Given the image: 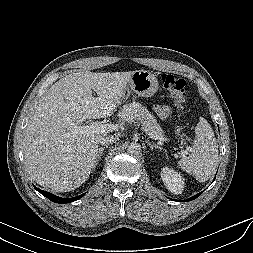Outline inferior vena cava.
<instances>
[{
	"label": "inferior vena cava",
	"mask_w": 253,
	"mask_h": 253,
	"mask_svg": "<svg viewBox=\"0 0 253 253\" xmlns=\"http://www.w3.org/2000/svg\"><path fill=\"white\" fill-rule=\"evenodd\" d=\"M117 141L116 137L113 136H103L99 139V143L101 145H109V144H113Z\"/></svg>",
	"instance_id": "1"
}]
</instances>
